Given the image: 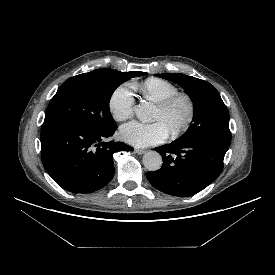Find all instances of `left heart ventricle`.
<instances>
[{
    "label": "left heart ventricle",
    "mask_w": 275,
    "mask_h": 275,
    "mask_svg": "<svg viewBox=\"0 0 275 275\" xmlns=\"http://www.w3.org/2000/svg\"><path fill=\"white\" fill-rule=\"evenodd\" d=\"M187 113V104L184 101H179L167 112H163L158 108L154 120L163 122L171 132L184 122Z\"/></svg>",
    "instance_id": "left-heart-ventricle-1"
}]
</instances>
